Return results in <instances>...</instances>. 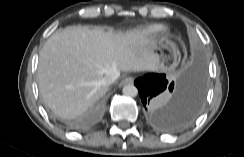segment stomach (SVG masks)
<instances>
[{
  "label": "stomach",
  "mask_w": 244,
  "mask_h": 157,
  "mask_svg": "<svg viewBox=\"0 0 244 157\" xmlns=\"http://www.w3.org/2000/svg\"><path fill=\"white\" fill-rule=\"evenodd\" d=\"M151 46L155 69L167 74L173 73L181 59L180 51L175 43L166 39L154 40Z\"/></svg>",
  "instance_id": "obj_1"
}]
</instances>
